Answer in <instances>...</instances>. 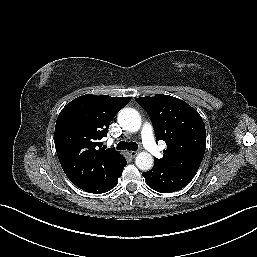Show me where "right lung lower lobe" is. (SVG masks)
I'll list each match as a JSON object with an SVG mask.
<instances>
[{"label":"right lung lower lobe","instance_id":"98d812e1","mask_svg":"<svg viewBox=\"0 0 257 257\" xmlns=\"http://www.w3.org/2000/svg\"><path fill=\"white\" fill-rule=\"evenodd\" d=\"M124 166H126V160L123 156H121V161L117 170L109 178L99 183L82 186L79 188L89 193H105L113 189L117 185L118 178L122 175Z\"/></svg>","mask_w":257,"mask_h":257}]
</instances>
